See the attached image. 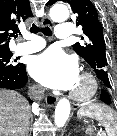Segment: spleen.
<instances>
[{
	"label": "spleen",
	"mask_w": 117,
	"mask_h": 136,
	"mask_svg": "<svg viewBox=\"0 0 117 136\" xmlns=\"http://www.w3.org/2000/svg\"><path fill=\"white\" fill-rule=\"evenodd\" d=\"M78 117H88L102 123L107 136H117V113L107 105L91 103L81 107L77 112ZM91 128L86 129L90 133Z\"/></svg>",
	"instance_id": "3e777b00"
}]
</instances>
